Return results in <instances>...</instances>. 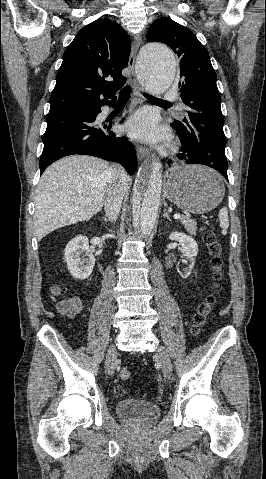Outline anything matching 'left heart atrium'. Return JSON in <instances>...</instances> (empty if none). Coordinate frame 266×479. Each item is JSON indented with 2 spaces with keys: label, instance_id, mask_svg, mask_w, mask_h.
<instances>
[{
  "label": "left heart atrium",
  "instance_id": "obj_1",
  "mask_svg": "<svg viewBox=\"0 0 266 479\" xmlns=\"http://www.w3.org/2000/svg\"><path fill=\"white\" fill-rule=\"evenodd\" d=\"M126 130L129 135L141 140L155 141L163 136L156 117L149 111H140L133 115L126 124Z\"/></svg>",
  "mask_w": 266,
  "mask_h": 479
}]
</instances>
